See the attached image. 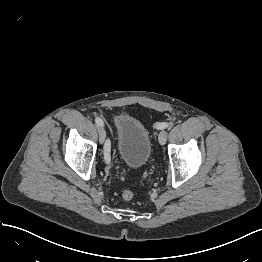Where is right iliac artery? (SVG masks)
I'll return each instance as SVG.
<instances>
[{
    "mask_svg": "<svg viewBox=\"0 0 262 262\" xmlns=\"http://www.w3.org/2000/svg\"><path fill=\"white\" fill-rule=\"evenodd\" d=\"M95 122L99 126H103L104 125L103 120L101 118H99V117H97L95 119ZM104 158H105L106 162H110V160H111V157H110V144L109 143H107L105 145V147H104Z\"/></svg>",
    "mask_w": 262,
    "mask_h": 262,
    "instance_id": "1",
    "label": "right iliac artery"
}]
</instances>
